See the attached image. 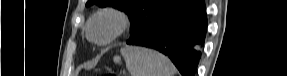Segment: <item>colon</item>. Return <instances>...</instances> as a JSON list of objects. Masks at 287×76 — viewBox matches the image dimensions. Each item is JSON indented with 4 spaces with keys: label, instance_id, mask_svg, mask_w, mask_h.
I'll use <instances>...</instances> for the list:
<instances>
[{
    "label": "colon",
    "instance_id": "colon-1",
    "mask_svg": "<svg viewBox=\"0 0 287 76\" xmlns=\"http://www.w3.org/2000/svg\"><path fill=\"white\" fill-rule=\"evenodd\" d=\"M107 76H116V74L113 73V72H109V73L107 74Z\"/></svg>",
    "mask_w": 287,
    "mask_h": 76
}]
</instances>
